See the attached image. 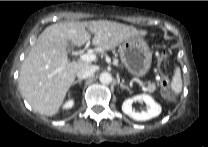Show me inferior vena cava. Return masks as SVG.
<instances>
[{
	"label": "inferior vena cava",
	"mask_w": 208,
	"mask_h": 147,
	"mask_svg": "<svg viewBox=\"0 0 208 147\" xmlns=\"http://www.w3.org/2000/svg\"><path fill=\"white\" fill-rule=\"evenodd\" d=\"M97 69L98 68L95 65H87L77 72V77L81 80L86 79L92 76L97 71Z\"/></svg>",
	"instance_id": "1"
}]
</instances>
